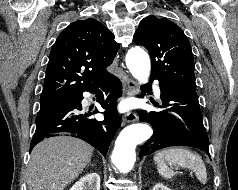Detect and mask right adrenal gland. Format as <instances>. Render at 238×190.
Wrapping results in <instances>:
<instances>
[{
    "label": "right adrenal gland",
    "mask_w": 238,
    "mask_h": 190,
    "mask_svg": "<svg viewBox=\"0 0 238 190\" xmlns=\"http://www.w3.org/2000/svg\"><path fill=\"white\" fill-rule=\"evenodd\" d=\"M90 166H94V164H90Z\"/></svg>",
    "instance_id": "2a0ac1e0"
}]
</instances>
